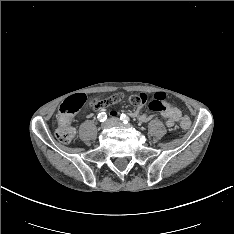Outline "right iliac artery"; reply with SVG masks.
Masks as SVG:
<instances>
[{
  "label": "right iliac artery",
  "instance_id": "1",
  "mask_svg": "<svg viewBox=\"0 0 234 234\" xmlns=\"http://www.w3.org/2000/svg\"><path fill=\"white\" fill-rule=\"evenodd\" d=\"M98 119H99L100 122H104L107 119L106 113L105 112L99 113Z\"/></svg>",
  "mask_w": 234,
  "mask_h": 234
}]
</instances>
